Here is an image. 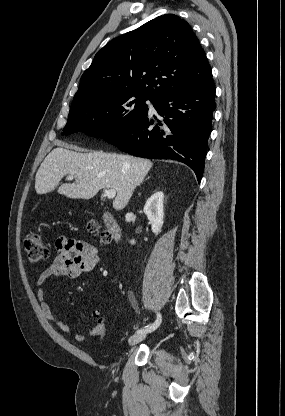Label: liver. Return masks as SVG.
<instances>
[{"label": "liver", "mask_w": 285, "mask_h": 416, "mask_svg": "<svg viewBox=\"0 0 285 416\" xmlns=\"http://www.w3.org/2000/svg\"><path fill=\"white\" fill-rule=\"evenodd\" d=\"M56 146L43 160L35 178L36 194H48L59 186L63 176H73L75 184H62L58 194L73 200H90L102 188L116 190L114 210L127 206L135 188L142 184L153 164L150 160L123 156V154H104L91 152L80 154L78 150L64 142Z\"/></svg>", "instance_id": "1"}]
</instances>
